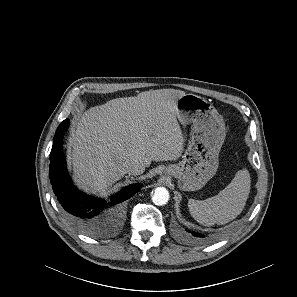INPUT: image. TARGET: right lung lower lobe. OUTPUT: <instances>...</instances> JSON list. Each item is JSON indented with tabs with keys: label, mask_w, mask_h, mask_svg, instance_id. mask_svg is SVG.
<instances>
[{
	"label": "right lung lower lobe",
	"mask_w": 297,
	"mask_h": 297,
	"mask_svg": "<svg viewBox=\"0 0 297 297\" xmlns=\"http://www.w3.org/2000/svg\"><path fill=\"white\" fill-rule=\"evenodd\" d=\"M68 126L69 119H65L57 128L53 139L49 166L50 181L59 203L69 214L73 223L82 232L91 236H98L101 235L102 228L108 221L106 216L100 215L101 210L108 205L117 207L138 192L140 185L136 184L124 188L120 193L113 196L108 203L80 192L70 180L62 152V139Z\"/></svg>",
	"instance_id": "right-lung-lower-lobe-1"
}]
</instances>
